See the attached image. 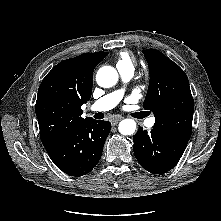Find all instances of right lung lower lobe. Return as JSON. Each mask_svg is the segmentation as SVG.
<instances>
[{
    "label": "right lung lower lobe",
    "mask_w": 221,
    "mask_h": 221,
    "mask_svg": "<svg viewBox=\"0 0 221 221\" xmlns=\"http://www.w3.org/2000/svg\"><path fill=\"white\" fill-rule=\"evenodd\" d=\"M110 130V122L91 119L44 147L61 171L82 176L99 162Z\"/></svg>",
    "instance_id": "right-lung-lower-lobe-1"
}]
</instances>
